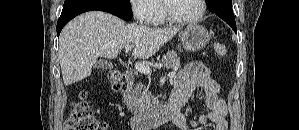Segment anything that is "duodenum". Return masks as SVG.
I'll return each mask as SVG.
<instances>
[{
  "label": "duodenum",
  "instance_id": "1",
  "mask_svg": "<svg viewBox=\"0 0 299 130\" xmlns=\"http://www.w3.org/2000/svg\"><path fill=\"white\" fill-rule=\"evenodd\" d=\"M124 79L127 87L134 83V75L131 71L124 73ZM129 89L124 92V97L128 96ZM188 96L185 94L171 95L167 104L156 111L143 117L134 116L130 120L133 130H147L158 127L161 124L173 121L180 113L181 107L187 102Z\"/></svg>",
  "mask_w": 299,
  "mask_h": 130
}]
</instances>
